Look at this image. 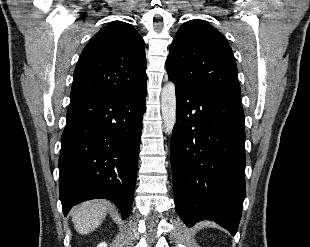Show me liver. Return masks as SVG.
I'll list each match as a JSON object with an SVG mask.
<instances>
[{"instance_id": "6515ba94", "label": "liver", "mask_w": 310, "mask_h": 247, "mask_svg": "<svg viewBox=\"0 0 310 247\" xmlns=\"http://www.w3.org/2000/svg\"><path fill=\"white\" fill-rule=\"evenodd\" d=\"M110 203L105 200L83 202L72 212V222L80 234L93 232L102 223Z\"/></svg>"}]
</instances>
